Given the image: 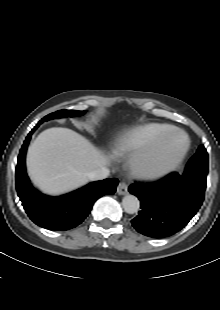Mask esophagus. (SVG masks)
<instances>
[{"label": "esophagus", "instance_id": "obj_1", "mask_svg": "<svg viewBox=\"0 0 220 310\" xmlns=\"http://www.w3.org/2000/svg\"><path fill=\"white\" fill-rule=\"evenodd\" d=\"M117 193L119 195H125L128 193V186L125 182H120L117 187Z\"/></svg>", "mask_w": 220, "mask_h": 310}]
</instances>
